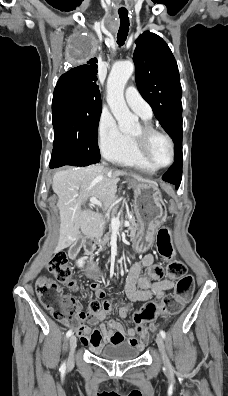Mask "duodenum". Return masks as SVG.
I'll list each match as a JSON object with an SVG mask.
<instances>
[{
  "instance_id": "obj_1",
  "label": "duodenum",
  "mask_w": 228,
  "mask_h": 396,
  "mask_svg": "<svg viewBox=\"0 0 228 396\" xmlns=\"http://www.w3.org/2000/svg\"><path fill=\"white\" fill-rule=\"evenodd\" d=\"M84 248L86 249V251L88 252H93L96 249V241L95 238L93 236H87L84 239Z\"/></svg>"
}]
</instances>
